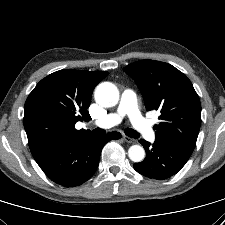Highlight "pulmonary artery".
I'll use <instances>...</instances> for the list:
<instances>
[{
	"label": "pulmonary artery",
	"mask_w": 225,
	"mask_h": 225,
	"mask_svg": "<svg viewBox=\"0 0 225 225\" xmlns=\"http://www.w3.org/2000/svg\"><path fill=\"white\" fill-rule=\"evenodd\" d=\"M125 116L130 119L131 124L145 139L154 141V130L150 122L142 116L137 105V95L131 89L123 91L116 112L110 113L98 120L96 125L111 127L119 124Z\"/></svg>",
	"instance_id": "pulmonary-artery-1"
}]
</instances>
